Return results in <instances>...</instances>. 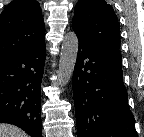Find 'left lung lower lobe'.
<instances>
[{"instance_id": "0a47b994", "label": "left lung lower lobe", "mask_w": 144, "mask_h": 137, "mask_svg": "<svg viewBox=\"0 0 144 137\" xmlns=\"http://www.w3.org/2000/svg\"><path fill=\"white\" fill-rule=\"evenodd\" d=\"M73 96L78 137H137L127 104L121 58L78 37Z\"/></svg>"}]
</instances>
